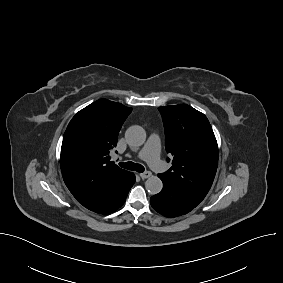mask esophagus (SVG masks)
<instances>
[{"label":"esophagus","mask_w":283,"mask_h":283,"mask_svg":"<svg viewBox=\"0 0 283 283\" xmlns=\"http://www.w3.org/2000/svg\"><path fill=\"white\" fill-rule=\"evenodd\" d=\"M152 175V173L150 171H146L144 173H140V177L142 179H146V178H149L150 176Z\"/></svg>","instance_id":"obj_1"}]
</instances>
